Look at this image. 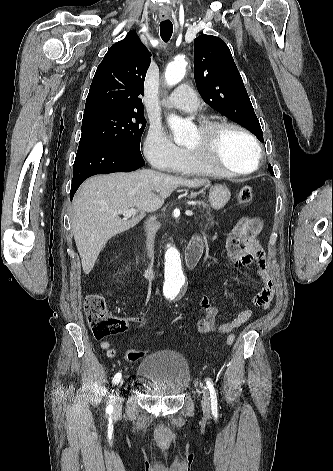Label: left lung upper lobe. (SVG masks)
<instances>
[{"label": "left lung upper lobe", "mask_w": 333, "mask_h": 471, "mask_svg": "<svg viewBox=\"0 0 333 471\" xmlns=\"http://www.w3.org/2000/svg\"><path fill=\"white\" fill-rule=\"evenodd\" d=\"M194 54L195 82L203 100L263 142L259 120L226 43L202 34L194 40ZM268 170L274 174L270 164Z\"/></svg>", "instance_id": "left-lung-upper-lobe-1"}]
</instances>
